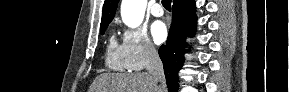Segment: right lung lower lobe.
Instances as JSON below:
<instances>
[{
    "label": "right lung lower lobe",
    "instance_id": "1",
    "mask_svg": "<svg viewBox=\"0 0 289 92\" xmlns=\"http://www.w3.org/2000/svg\"><path fill=\"white\" fill-rule=\"evenodd\" d=\"M172 24L166 45L159 49L169 92H177L178 71L184 62V39L196 31L194 0L176 1L172 6Z\"/></svg>",
    "mask_w": 289,
    "mask_h": 92
}]
</instances>
